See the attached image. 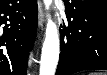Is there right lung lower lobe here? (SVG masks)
<instances>
[{
  "mask_svg": "<svg viewBox=\"0 0 107 75\" xmlns=\"http://www.w3.org/2000/svg\"><path fill=\"white\" fill-rule=\"evenodd\" d=\"M36 29V0H0V75H26Z\"/></svg>",
  "mask_w": 107,
  "mask_h": 75,
  "instance_id": "right-lung-lower-lobe-1",
  "label": "right lung lower lobe"
}]
</instances>
